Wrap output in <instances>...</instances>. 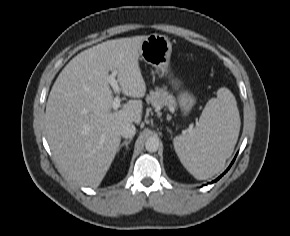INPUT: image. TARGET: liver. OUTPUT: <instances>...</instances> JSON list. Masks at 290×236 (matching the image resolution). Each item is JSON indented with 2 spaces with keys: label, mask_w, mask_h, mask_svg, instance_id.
<instances>
[{
  "label": "liver",
  "mask_w": 290,
  "mask_h": 236,
  "mask_svg": "<svg viewBox=\"0 0 290 236\" xmlns=\"http://www.w3.org/2000/svg\"><path fill=\"white\" fill-rule=\"evenodd\" d=\"M146 38L108 40L82 51L52 86L45 112L47 140L60 170L82 185H100L118 152L121 126L141 122V100L113 109L108 76L116 72L124 95L144 97L138 58Z\"/></svg>",
  "instance_id": "6515ba94"
}]
</instances>
